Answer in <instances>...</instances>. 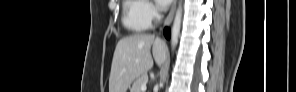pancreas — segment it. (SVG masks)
Segmentation results:
<instances>
[{"label": "pancreas", "mask_w": 296, "mask_h": 92, "mask_svg": "<svg viewBox=\"0 0 296 92\" xmlns=\"http://www.w3.org/2000/svg\"><path fill=\"white\" fill-rule=\"evenodd\" d=\"M147 80H148V76L147 75H142V76L138 77L134 81L130 92H141V86L142 85H145L146 82H147Z\"/></svg>", "instance_id": "pancreas-1"}]
</instances>
